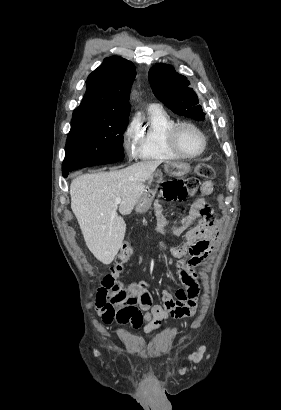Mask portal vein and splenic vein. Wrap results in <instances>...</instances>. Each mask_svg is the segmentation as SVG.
<instances>
[{
    "mask_svg": "<svg viewBox=\"0 0 281 410\" xmlns=\"http://www.w3.org/2000/svg\"><path fill=\"white\" fill-rule=\"evenodd\" d=\"M120 202H121V198H120V197H117V198L115 199V205H118Z\"/></svg>",
    "mask_w": 281,
    "mask_h": 410,
    "instance_id": "18ae733b",
    "label": "portal vein and splenic vein"
}]
</instances>
